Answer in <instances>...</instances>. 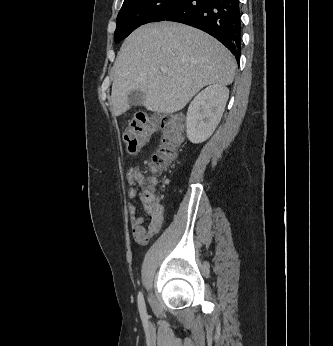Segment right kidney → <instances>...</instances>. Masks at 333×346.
<instances>
[{"label":"right kidney","mask_w":333,"mask_h":346,"mask_svg":"<svg viewBox=\"0 0 333 346\" xmlns=\"http://www.w3.org/2000/svg\"><path fill=\"white\" fill-rule=\"evenodd\" d=\"M228 97V88L221 84L210 85L196 95L186 117L190 142L201 143L212 135L221 120Z\"/></svg>","instance_id":"ca27d5eb"}]
</instances>
